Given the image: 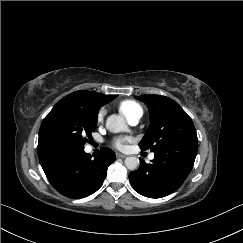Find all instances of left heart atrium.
Listing matches in <instances>:
<instances>
[{
	"label": "left heart atrium",
	"instance_id": "1",
	"mask_svg": "<svg viewBox=\"0 0 243 243\" xmlns=\"http://www.w3.org/2000/svg\"><path fill=\"white\" fill-rule=\"evenodd\" d=\"M128 141L129 140L127 138H117L113 141V145L119 150H124L127 147Z\"/></svg>",
	"mask_w": 243,
	"mask_h": 243
}]
</instances>
